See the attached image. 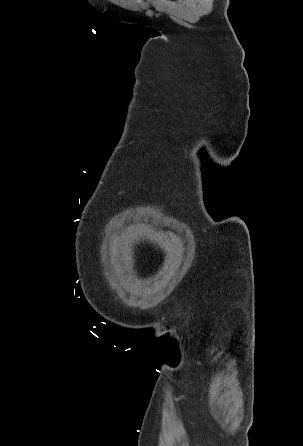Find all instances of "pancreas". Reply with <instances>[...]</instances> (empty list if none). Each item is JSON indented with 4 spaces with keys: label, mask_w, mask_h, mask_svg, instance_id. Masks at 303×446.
<instances>
[{
    "label": "pancreas",
    "mask_w": 303,
    "mask_h": 446,
    "mask_svg": "<svg viewBox=\"0 0 303 446\" xmlns=\"http://www.w3.org/2000/svg\"><path fill=\"white\" fill-rule=\"evenodd\" d=\"M133 7L136 8V7H137V4H134Z\"/></svg>",
    "instance_id": "obj_1"
}]
</instances>
